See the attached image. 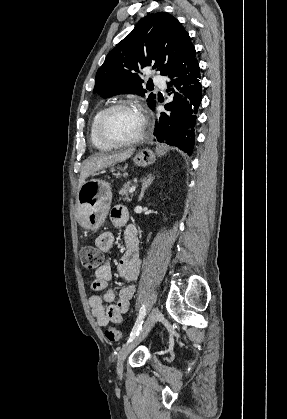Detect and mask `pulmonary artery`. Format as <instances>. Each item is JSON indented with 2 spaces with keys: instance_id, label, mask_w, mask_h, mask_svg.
<instances>
[{
  "instance_id": "obj_1",
  "label": "pulmonary artery",
  "mask_w": 287,
  "mask_h": 419,
  "mask_svg": "<svg viewBox=\"0 0 287 419\" xmlns=\"http://www.w3.org/2000/svg\"><path fill=\"white\" fill-rule=\"evenodd\" d=\"M152 81L155 85L161 87L162 89L165 88V80L160 75H154L152 77Z\"/></svg>"
}]
</instances>
